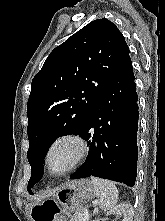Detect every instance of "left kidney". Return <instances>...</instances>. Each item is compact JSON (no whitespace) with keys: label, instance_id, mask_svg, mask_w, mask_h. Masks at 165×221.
I'll return each mask as SVG.
<instances>
[{"label":"left kidney","instance_id":"5707ae66","mask_svg":"<svg viewBox=\"0 0 165 221\" xmlns=\"http://www.w3.org/2000/svg\"><path fill=\"white\" fill-rule=\"evenodd\" d=\"M133 207L131 204L123 203L113 207L108 213L110 215H119L122 217V221H133Z\"/></svg>","mask_w":165,"mask_h":221}]
</instances>
